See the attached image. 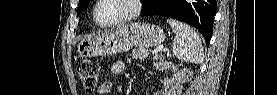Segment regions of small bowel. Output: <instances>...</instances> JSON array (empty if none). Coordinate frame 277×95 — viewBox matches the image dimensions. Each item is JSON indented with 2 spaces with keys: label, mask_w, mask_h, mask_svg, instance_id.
Wrapping results in <instances>:
<instances>
[{
  "label": "small bowel",
  "mask_w": 277,
  "mask_h": 95,
  "mask_svg": "<svg viewBox=\"0 0 277 95\" xmlns=\"http://www.w3.org/2000/svg\"><path fill=\"white\" fill-rule=\"evenodd\" d=\"M127 69L126 63L122 60L116 61L112 67L111 72L114 75H123ZM112 91V83L109 81L102 82L98 87L99 94L108 95L111 94ZM158 95H170V91L168 89H162L156 92Z\"/></svg>",
  "instance_id": "obj_1"
}]
</instances>
